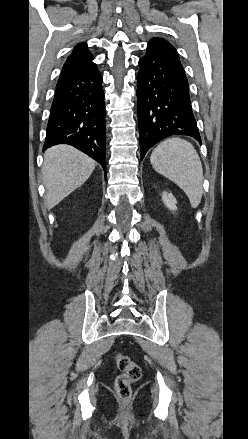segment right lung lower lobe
Wrapping results in <instances>:
<instances>
[{"label":"right lung lower lobe","mask_w":248,"mask_h":439,"mask_svg":"<svg viewBox=\"0 0 248 439\" xmlns=\"http://www.w3.org/2000/svg\"><path fill=\"white\" fill-rule=\"evenodd\" d=\"M105 136L102 76L93 64L58 81L43 151L70 144L99 162L106 173Z\"/></svg>","instance_id":"1"}]
</instances>
